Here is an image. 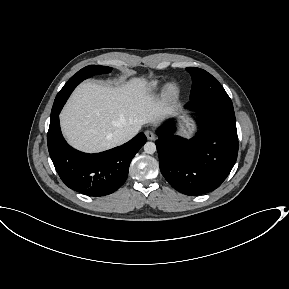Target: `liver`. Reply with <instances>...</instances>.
<instances>
[{
  "mask_svg": "<svg viewBox=\"0 0 289 289\" xmlns=\"http://www.w3.org/2000/svg\"><path fill=\"white\" fill-rule=\"evenodd\" d=\"M175 111L173 105L155 100L143 78L122 87L93 82L80 84L60 114L69 144L84 152L115 147L110 135L123 129L133 138L145 124L156 125Z\"/></svg>",
  "mask_w": 289,
  "mask_h": 289,
  "instance_id": "6515ba94",
  "label": "liver"
}]
</instances>
